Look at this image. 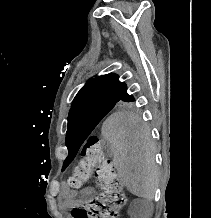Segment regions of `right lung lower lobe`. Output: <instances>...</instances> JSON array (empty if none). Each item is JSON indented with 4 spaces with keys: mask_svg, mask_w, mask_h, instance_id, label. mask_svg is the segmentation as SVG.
<instances>
[{
    "mask_svg": "<svg viewBox=\"0 0 211 218\" xmlns=\"http://www.w3.org/2000/svg\"><path fill=\"white\" fill-rule=\"evenodd\" d=\"M127 98H133V97L131 95H128L127 92L125 91L123 95V99H127Z\"/></svg>",
    "mask_w": 211,
    "mask_h": 218,
    "instance_id": "98d812e1",
    "label": "right lung lower lobe"
}]
</instances>
